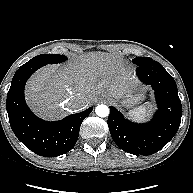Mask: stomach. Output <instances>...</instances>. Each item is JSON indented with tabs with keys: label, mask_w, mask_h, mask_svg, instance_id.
<instances>
[{
	"label": "stomach",
	"mask_w": 193,
	"mask_h": 193,
	"mask_svg": "<svg viewBox=\"0 0 193 193\" xmlns=\"http://www.w3.org/2000/svg\"><path fill=\"white\" fill-rule=\"evenodd\" d=\"M105 95L113 102L120 103L125 108L134 107L144 97V94L136 89L124 95H116L111 93H106Z\"/></svg>",
	"instance_id": "1"
}]
</instances>
